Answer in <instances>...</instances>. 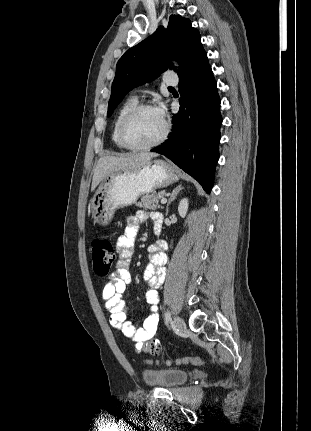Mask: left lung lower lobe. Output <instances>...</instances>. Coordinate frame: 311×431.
Returning <instances> with one entry per match:
<instances>
[{
    "label": "left lung lower lobe",
    "mask_w": 311,
    "mask_h": 431,
    "mask_svg": "<svg viewBox=\"0 0 311 431\" xmlns=\"http://www.w3.org/2000/svg\"><path fill=\"white\" fill-rule=\"evenodd\" d=\"M178 87L180 109L172 118L170 137L151 151L165 155L210 193L219 158L222 117L216 81L205 51L198 53L179 76Z\"/></svg>",
    "instance_id": "left-lung-lower-lobe-1"
}]
</instances>
